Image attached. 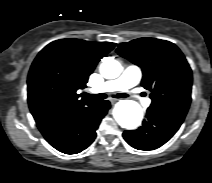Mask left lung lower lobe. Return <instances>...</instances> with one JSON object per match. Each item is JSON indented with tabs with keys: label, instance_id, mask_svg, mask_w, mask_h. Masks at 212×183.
<instances>
[{
	"label": "left lung lower lobe",
	"instance_id": "0a47b994",
	"mask_svg": "<svg viewBox=\"0 0 212 183\" xmlns=\"http://www.w3.org/2000/svg\"><path fill=\"white\" fill-rule=\"evenodd\" d=\"M184 118V114L150 106L142 126L137 130L125 131L123 137L136 149L154 150L165 144L176 133Z\"/></svg>",
	"mask_w": 212,
	"mask_h": 183
}]
</instances>
